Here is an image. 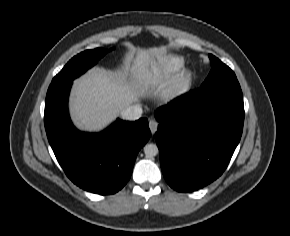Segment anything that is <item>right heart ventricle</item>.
<instances>
[{"label":"right heart ventricle","mask_w":290,"mask_h":236,"mask_svg":"<svg viewBox=\"0 0 290 236\" xmlns=\"http://www.w3.org/2000/svg\"><path fill=\"white\" fill-rule=\"evenodd\" d=\"M184 65V58L181 56L168 57L160 67V71L163 74H173L179 71Z\"/></svg>","instance_id":"e07e8e85"}]
</instances>
